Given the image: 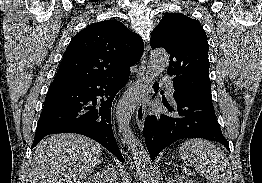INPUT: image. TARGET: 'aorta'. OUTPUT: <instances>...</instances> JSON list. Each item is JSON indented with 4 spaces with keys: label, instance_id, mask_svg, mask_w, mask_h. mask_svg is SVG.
<instances>
[{
    "label": "aorta",
    "instance_id": "obj_1",
    "mask_svg": "<svg viewBox=\"0 0 262 183\" xmlns=\"http://www.w3.org/2000/svg\"><path fill=\"white\" fill-rule=\"evenodd\" d=\"M168 65V53L162 49L153 50L150 54L146 74L124 92L117 105L116 118L119 131L127 140L128 147L133 152L136 167L139 173L143 175L152 170L151 161L147 152L132 133L129 123L137 105L146 96L149 86Z\"/></svg>",
    "mask_w": 262,
    "mask_h": 183
}]
</instances>
